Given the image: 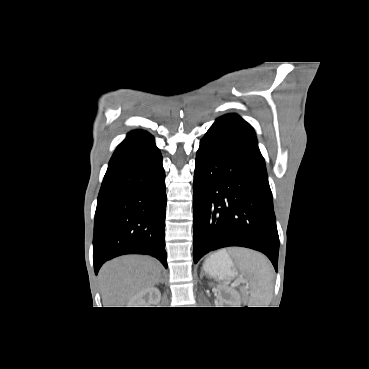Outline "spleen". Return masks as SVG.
<instances>
[{
	"instance_id": "spleen-1",
	"label": "spleen",
	"mask_w": 369,
	"mask_h": 369,
	"mask_svg": "<svg viewBox=\"0 0 369 369\" xmlns=\"http://www.w3.org/2000/svg\"><path fill=\"white\" fill-rule=\"evenodd\" d=\"M230 253L237 259L238 267L250 279V306L267 307L271 300L274 279V270L269 260L263 254L248 249H235Z\"/></svg>"
}]
</instances>
